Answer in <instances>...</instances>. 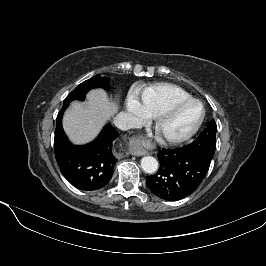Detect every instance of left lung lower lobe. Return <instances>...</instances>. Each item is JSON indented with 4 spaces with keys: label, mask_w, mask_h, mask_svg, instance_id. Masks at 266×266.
Wrapping results in <instances>:
<instances>
[{
    "label": "left lung lower lobe",
    "mask_w": 266,
    "mask_h": 266,
    "mask_svg": "<svg viewBox=\"0 0 266 266\" xmlns=\"http://www.w3.org/2000/svg\"><path fill=\"white\" fill-rule=\"evenodd\" d=\"M160 169L147 176L149 190L157 197L175 201L193 193L209 169L210 163L187 146L163 149L158 153Z\"/></svg>",
    "instance_id": "0a47b994"
}]
</instances>
